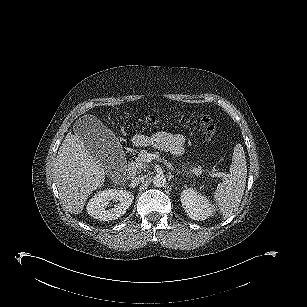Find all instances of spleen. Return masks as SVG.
<instances>
[{
	"mask_svg": "<svg viewBox=\"0 0 307 307\" xmlns=\"http://www.w3.org/2000/svg\"><path fill=\"white\" fill-rule=\"evenodd\" d=\"M226 181L220 183L212 193L214 211H219L224 217H229L238 210L245 190L247 166L243 147L237 145L233 154L230 173Z\"/></svg>",
	"mask_w": 307,
	"mask_h": 307,
	"instance_id": "spleen-1",
	"label": "spleen"
}]
</instances>
